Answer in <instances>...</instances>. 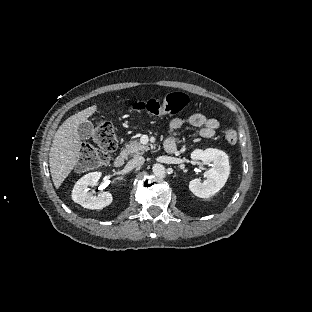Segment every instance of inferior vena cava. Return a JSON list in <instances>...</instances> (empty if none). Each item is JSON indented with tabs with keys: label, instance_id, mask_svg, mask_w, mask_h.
<instances>
[{
	"label": "inferior vena cava",
	"instance_id": "602c4592",
	"mask_svg": "<svg viewBox=\"0 0 312 312\" xmlns=\"http://www.w3.org/2000/svg\"><path fill=\"white\" fill-rule=\"evenodd\" d=\"M144 162H145L144 157H142V156H135L133 159H131V160L129 161V165H130L131 167H138V166L143 165Z\"/></svg>",
	"mask_w": 312,
	"mask_h": 312
}]
</instances>
